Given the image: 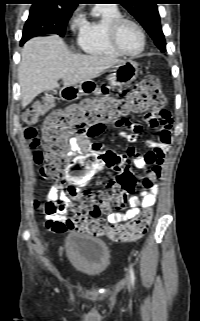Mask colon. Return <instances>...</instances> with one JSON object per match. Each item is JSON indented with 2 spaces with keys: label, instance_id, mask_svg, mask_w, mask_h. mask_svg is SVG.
Here are the masks:
<instances>
[{
  "label": "colon",
  "instance_id": "colon-1",
  "mask_svg": "<svg viewBox=\"0 0 200 321\" xmlns=\"http://www.w3.org/2000/svg\"><path fill=\"white\" fill-rule=\"evenodd\" d=\"M135 90L123 98L101 97L71 105L63 110L51 112L43 127V149L35 124L40 116L54 107L56 97L52 93L42 96L23 114L26 124L24 136L35 151V162L41 175L50 180L67 184V198H76L78 204L71 206L67 219L80 231L98 236H107L115 242H132L140 239L147 231L152 212L145 210L132 221L118 226H109L100 214L111 208L121 209L138 182V176L131 169L129 159L113 152L92 151L69 160V137L75 134L95 137L108 125H119L122 117L131 113L161 110L166 102L162 84L155 76L145 77ZM102 169H111L114 178L104 190H83L90 178ZM38 206V205H37ZM45 213L55 207L45 204Z\"/></svg>",
  "mask_w": 200,
  "mask_h": 321
}]
</instances>
